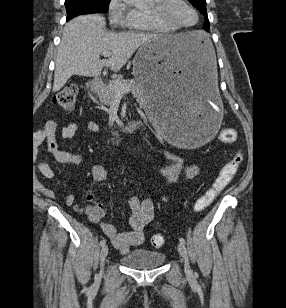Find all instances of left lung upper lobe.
Instances as JSON below:
<instances>
[{"label": "left lung upper lobe", "instance_id": "5c2ea615", "mask_svg": "<svg viewBox=\"0 0 286 308\" xmlns=\"http://www.w3.org/2000/svg\"><path fill=\"white\" fill-rule=\"evenodd\" d=\"M202 14L205 15L206 21L203 24V28L206 31H209L210 23L207 18V12H206V1L205 0H189Z\"/></svg>", "mask_w": 286, "mask_h": 308}]
</instances>
